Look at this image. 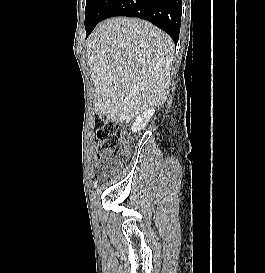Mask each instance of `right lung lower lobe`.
<instances>
[{"mask_svg":"<svg viewBox=\"0 0 265 273\" xmlns=\"http://www.w3.org/2000/svg\"><path fill=\"white\" fill-rule=\"evenodd\" d=\"M181 14L182 0H114L103 19L113 16L139 17L167 32L177 43ZM93 29L86 31L87 36Z\"/></svg>","mask_w":265,"mask_h":273,"instance_id":"98d812e1","label":"right lung lower lobe"}]
</instances>
